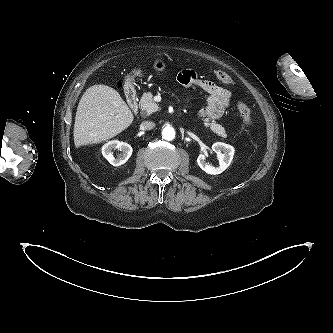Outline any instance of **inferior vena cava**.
<instances>
[{
    "label": "inferior vena cava",
    "mask_w": 333,
    "mask_h": 333,
    "mask_svg": "<svg viewBox=\"0 0 333 333\" xmlns=\"http://www.w3.org/2000/svg\"><path fill=\"white\" fill-rule=\"evenodd\" d=\"M140 126L143 130H151L155 127V123L152 121H143Z\"/></svg>",
    "instance_id": "obj_1"
}]
</instances>
